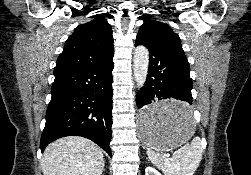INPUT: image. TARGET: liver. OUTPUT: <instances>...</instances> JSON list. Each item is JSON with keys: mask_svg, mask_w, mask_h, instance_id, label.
<instances>
[{"mask_svg": "<svg viewBox=\"0 0 251 175\" xmlns=\"http://www.w3.org/2000/svg\"><path fill=\"white\" fill-rule=\"evenodd\" d=\"M41 167L43 175H101L104 155L97 143L69 135L47 145Z\"/></svg>", "mask_w": 251, "mask_h": 175, "instance_id": "1", "label": "liver"}]
</instances>
